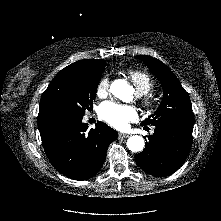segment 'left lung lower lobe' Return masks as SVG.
<instances>
[{"mask_svg":"<svg viewBox=\"0 0 221 221\" xmlns=\"http://www.w3.org/2000/svg\"><path fill=\"white\" fill-rule=\"evenodd\" d=\"M193 125L164 123L155 126L144 150L135 156L137 165L155 177L177 171L187 158L192 145Z\"/></svg>","mask_w":221,"mask_h":221,"instance_id":"left-lung-lower-lobe-1","label":"left lung lower lobe"}]
</instances>
